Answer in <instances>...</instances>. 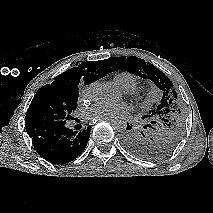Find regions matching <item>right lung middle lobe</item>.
Instances as JSON below:
<instances>
[{
	"label": "right lung middle lobe",
	"mask_w": 213,
	"mask_h": 213,
	"mask_svg": "<svg viewBox=\"0 0 213 213\" xmlns=\"http://www.w3.org/2000/svg\"><path fill=\"white\" fill-rule=\"evenodd\" d=\"M78 96V83L40 88L26 113L25 126L29 136L64 126L77 108Z\"/></svg>",
	"instance_id": "right-lung-middle-lobe-1"
}]
</instances>
